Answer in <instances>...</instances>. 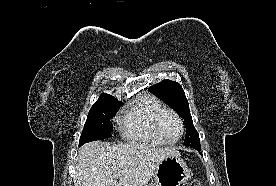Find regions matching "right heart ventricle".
I'll use <instances>...</instances> for the list:
<instances>
[{
  "label": "right heart ventricle",
  "instance_id": "1",
  "mask_svg": "<svg viewBox=\"0 0 276 186\" xmlns=\"http://www.w3.org/2000/svg\"><path fill=\"white\" fill-rule=\"evenodd\" d=\"M164 108L153 96L140 99L122 118L123 135L129 140L153 146L164 144L154 132L153 120L158 111Z\"/></svg>",
  "mask_w": 276,
  "mask_h": 186
}]
</instances>
